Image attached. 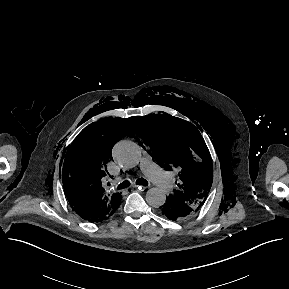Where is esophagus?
Here are the masks:
<instances>
[{
  "instance_id": "obj_1",
  "label": "esophagus",
  "mask_w": 289,
  "mask_h": 289,
  "mask_svg": "<svg viewBox=\"0 0 289 289\" xmlns=\"http://www.w3.org/2000/svg\"><path fill=\"white\" fill-rule=\"evenodd\" d=\"M132 188H138L139 190L144 191V190L148 189L149 187L148 186L133 185Z\"/></svg>"
}]
</instances>
